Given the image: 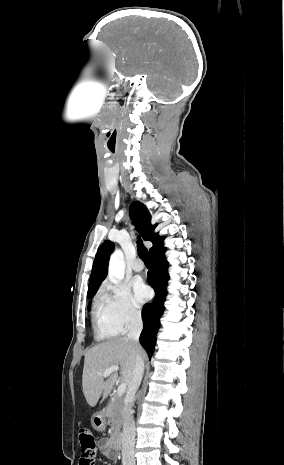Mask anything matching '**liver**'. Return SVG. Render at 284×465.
<instances>
[{
  "instance_id": "1",
  "label": "liver",
  "mask_w": 284,
  "mask_h": 465,
  "mask_svg": "<svg viewBox=\"0 0 284 465\" xmlns=\"http://www.w3.org/2000/svg\"><path fill=\"white\" fill-rule=\"evenodd\" d=\"M136 355L144 359L145 353L135 341H127L126 337L108 339L105 343H99L91 347L85 355L82 375V387L84 397L90 405L95 407L100 397L102 401L110 395L118 377V373H111L109 377H102L105 369L120 367L121 379L130 385L135 367ZM106 379V381H105Z\"/></svg>"
}]
</instances>
